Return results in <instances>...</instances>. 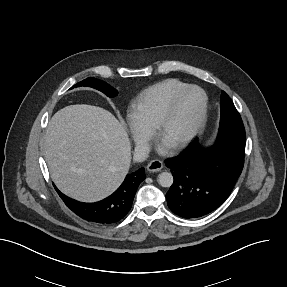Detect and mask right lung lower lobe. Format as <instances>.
Wrapping results in <instances>:
<instances>
[{
    "label": "right lung lower lobe",
    "mask_w": 287,
    "mask_h": 287,
    "mask_svg": "<svg viewBox=\"0 0 287 287\" xmlns=\"http://www.w3.org/2000/svg\"><path fill=\"white\" fill-rule=\"evenodd\" d=\"M145 179L144 168L128 174L122 185L109 197L95 203H84L57 192L66 206L79 217L97 224L120 221L131 209L139 184Z\"/></svg>",
    "instance_id": "right-lung-lower-lobe-1"
}]
</instances>
